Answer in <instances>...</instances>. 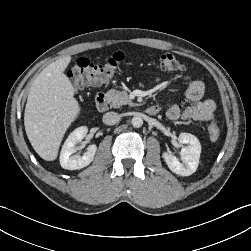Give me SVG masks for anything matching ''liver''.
Segmentation results:
<instances>
[{
	"mask_svg": "<svg viewBox=\"0 0 251 251\" xmlns=\"http://www.w3.org/2000/svg\"><path fill=\"white\" fill-rule=\"evenodd\" d=\"M71 62L66 56L45 67L33 81L24 113L27 137L44 160L57 158L62 138L81 108L74 87L64 74Z\"/></svg>",
	"mask_w": 251,
	"mask_h": 251,
	"instance_id": "liver-1",
	"label": "liver"
}]
</instances>
